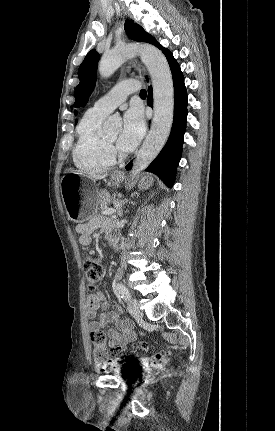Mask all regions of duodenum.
Here are the masks:
<instances>
[{
	"instance_id": "obj_1",
	"label": "duodenum",
	"mask_w": 275,
	"mask_h": 431,
	"mask_svg": "<svg viewBox=\"0 0 275 431\" xmlns=\"http://www.w3.org/2000/svg\"><path fill=\"white\" fill-rule=\"evenodd\" d=\"M110 243H111L112 245H115V240H114V239H110Z\"/></svg>"
}]
</instances>
